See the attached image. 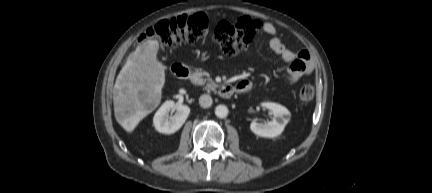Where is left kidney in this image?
<instances>
[{
	"mask_svg": "<svg viewBox=\"0 0 432 193\" xmlns=\"http://www.w3.org/2000/svg\"><path fill=\"white\" fill-rule=\"evenodd\" d=\"M261 106L272 112L273 120L265 124L253 121L250 124L251 131L256 135L265 138H274L280 135L286 124L290 121L291 114L289 110L286 107L273 102H263Z\"/></svg>",
	"mask_w": 432,
	"mask_h": 193,
	"instance_id": "obj_1",
	"label": "left kidney"
}]
</instances>
